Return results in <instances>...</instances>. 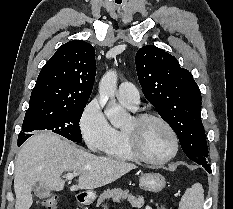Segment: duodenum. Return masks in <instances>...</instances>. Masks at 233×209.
Instances as JSON below:
<instances>
[{"label":"duodenum","mask_w":233,"mask_h":209,"mask_svg":"<svg viewBox=\"0 0 233 209\" xmlns=\"http://www.w3.org/2000/svg\"><path fill=\"white\" fill-rule=\"evenodd\" d=\"M78 200H79V202L84 203V202H86V197L81 195V196H79Z\"/></svg>","instance_id":"obj_1"}]
</instances>
